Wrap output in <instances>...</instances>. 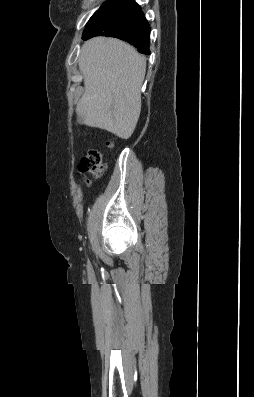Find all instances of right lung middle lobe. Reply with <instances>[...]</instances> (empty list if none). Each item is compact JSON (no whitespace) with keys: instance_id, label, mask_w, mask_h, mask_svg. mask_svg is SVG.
Instances as JSON below:
<instances>
[{"instance_id":"right-lung-middle-lobe-1","label":"right lung middle lobe","mask_w":254,"mask_h":397,"mask_svg":"<svg viewBox=\"0 0 254 397\" xmlns=\"http://www.w3.org/2000/svg\"><path fill=\"white\" fill-rule=\"evenodd\" d=\"M98 11H99V10H98ZM98 11H97V12H98ZM97 12H96V13H97ZM96 13H95V14H96ZM95 14H94V15H95ZM94 15H93V16H94ZM93 16H92V17H93ZM92 17H91V18H92Z\"/></svg>"}]
</instances>
